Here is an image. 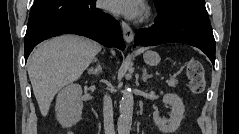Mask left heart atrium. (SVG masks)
Returning a JSON list of instances; mask_svg holds the SVG:
<instances>
[{
  "mask_svg": "<svg viewBox=\"0 0 239 134\" xmlns=\"http://www.w3.org/2000/svg\"><path fill=\"white\" fill-rule=\"evenodd\" d=\"M106 5L110 11L124 15L127 18H137L144 10L140 0H107Z\"/></svg>",
  "mask_w": 239,
  "mask_h": 134,
  "instance_id": "1",
  "label": "left heart atrium"
}]
</instances>
